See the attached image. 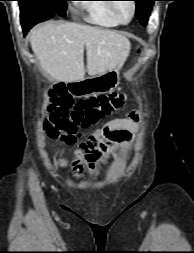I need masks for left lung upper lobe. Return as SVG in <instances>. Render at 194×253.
Wrapping results in <instances>:
<instances>
[{
  "mask_svg": "<svg viewBox=\"0 0 194 253\" xmlns=\"http://www.w3.org/2000/svg\"><path fill=\"white\" fill-rule=\"evenodd\" d=\"M136 2V18L142 25H146L152 6L157 0H134Z\"/></svg>",
  "mask_w": 194,
  "mask_h": 253,
  "instance_id": "5c2ea615",
  "label": "left lung upper lobe"
}]
</instances>
